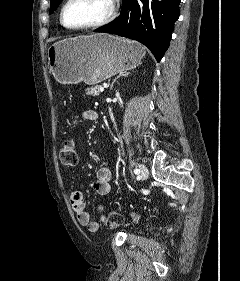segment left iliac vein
<instances>
[{
    "label": "left iliac vein",
    "instance_id": "left-iliac-vein-1",
    "mask_svg": "<svg viewBox=\"0 0 240 281\" xmlns=\"http://www.w3.org/2000/svg\"><path fill=\"white\" fill-rule=\"evenodd\" d=\"M139 170L141 172V178L147 179V177L149 175V171H148L147 167L143 164H139Z\"/></svg>",
    "mask_w": 240,
    "mask_h": 281
}]
</instances>
